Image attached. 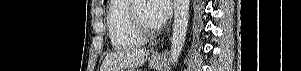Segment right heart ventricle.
<instances>
[{
	"label": "right heart ventricle",
	"instance_id": "obj_1",
	"mask_svg": "<svg viewBox=\"0 0 301 71\" xmlns=\"http://www.w3.org/2000/svg\"><path fill=\"white\" fill-rule=\"evenodd\" d=\"M129 0L111 2L107 15V28L111 44L116 49H130L144 44L134 30L129 16Z\"/></svg>",
	"mask_w": 301,
	"mask_h": 71
}]
</instances>
